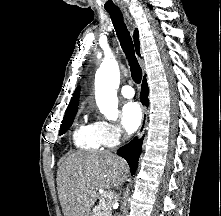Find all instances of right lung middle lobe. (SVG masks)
Instances as JSON below:
<instances>
[{"label":"right lung middle lobe","instance_id":"right-lung-middle-lobe-1","mask_svg":"<svg viewBox=\"0 0 221 216\" xmlns=\"http://www.w3.org/2000/svg\"><path fill=\"white\" fill-rule=\"evenodd\" d=\"M76 113L77 112H74L64 116V119L60 127L59 135L64 134L68 130V128L72 125Z\"/></svg>","mask_w":221,"mask_h":216}]
</instances>
